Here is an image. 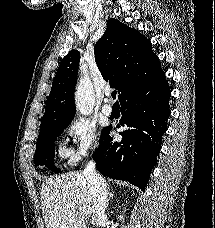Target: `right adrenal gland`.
I'll use <instances>...</instances> for the list:
<instances>
[{
	"mask_svg": "<svg viewBox=\"0 0 215 228\" xmlns=\"http://www.w3.org/2000/svg\"><path fill=\"white\" fill-rule=\"evenodd\" d=\"M114 196H116L115 192H111V190H109V192H108L109 200H113ZM109 200H107L106 208H108V206H109Z\"/></svg>",
	"mask_w": 215,
	"mask_h": 228,
	"instance_id": "right-adrenal-gland-1",
	"label": "right adrenal gland"
}]
</instances>
